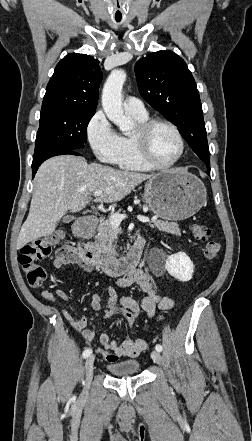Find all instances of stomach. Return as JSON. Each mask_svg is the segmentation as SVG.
Returning <instances> with one entry per match:
<instances>
[{
	"mask_svg": "<svg viewBox=\"0 0 252 441\" xmlns=\"http://www.w3.org/2000/svg\"><path fill=\"white\" fill-rule=\"evenodd\" d=\"M206 200V188L182 169L162 171L144 186L143 201L162 219L178 221L196 214Z\"/></svg>",
	"mask_w": 252,
	"mask_h": 441,
	"instance_id": "obj_1",
	"label": "stomach"
}]
</instances>
